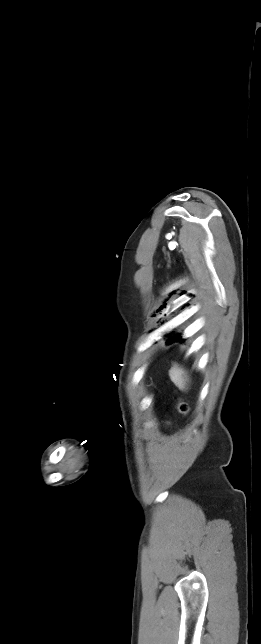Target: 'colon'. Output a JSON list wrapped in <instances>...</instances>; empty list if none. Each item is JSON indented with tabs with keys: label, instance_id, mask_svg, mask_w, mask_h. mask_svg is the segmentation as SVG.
<instances>
[{
	"label": "colon",
	"instance_id": "colon-1",
	"mask_svg": "<svg viewBox=\"0 0 261 644\" xmlns=\"http://www.w3.org/2000/svg\"><path fill=\"white\" fill-rule=\"evenodd\" d=\"M178 411L182 414H186L188 412V405L185 401L180 400L177 404Z\"/></svg>",
	"mask_w": 261,
	"mask_h": 644
}]
</instances>
